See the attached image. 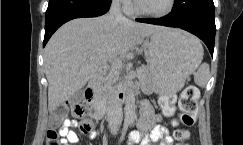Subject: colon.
I'll use <instances>...</instances> for the list:
<instances>
[{"instance_id":"1","label":"colon","mask_w":243,"mask_h":145,"mask_svg":"<svg viewBox=\"0 0 243 145\" xmlns=\"http://www.w3.org/2000/svg\"><path fill=\"white\" fill-rule=\"evenodd\" d=\"M198 98L199 90L195 86H188L183 90L179 99L181 115L174 121V125L190 126L194 123ZM160 105L166 116L173 115L175 111L174 95L168 94L162 96L160 99ZM69 113L76 118H81L85 113L84 107L79 103L76 97H71L64 104L58 106L53 112L51 117V126L47 131L46 145H61L56 126L59 122L65 120ZM80 129L83 132H89L92 129V124L87 120H83ZM174 137L177 140L178 145H189L186 143V140L189 137V132L186 129H176Z\"/></svg>"}]
</instances>
